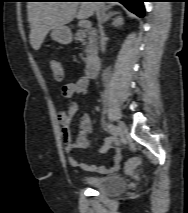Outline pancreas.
<instances>
[{
	"instance_id": "obj_1",
	"label": "pancreas",
	"mask_w": 188,
	"mask_h": 213,
	"mask_svg": "<svg viewBox=\"0 0 188 213\" xmlns=\"http://www.w3.org/2000/svg\"><path fill=\"white\" fill-rule=\"evenodd\" d=\"M75 40L80 41L84 46L85 56H81L82 61L89 62L98 52L96 32L90 27L79 29L75 34Z\"/></svg>"
}]
</instances>
